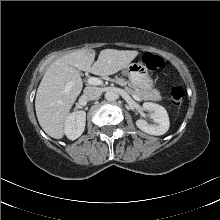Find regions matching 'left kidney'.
I'll return each instance as SVG.
<instances>
[{
  "label": "left kidney",
  "mask_w": 220,
  "mask_h": 220,
  "mask_svg": "<svg viewBox=\"0 0 220 220\" xmlns=\"http://www.w3.org/2000/svg\"><path fill=\"white\" fill-rule=\"evenodd\" d=\"M143 108L151 113L150 118L155 124L149 125L146 120L139 119L136 121V126L150 135L159 136L165 134L170 126L166 109L161 105L152 102L143 103Z\"/></svg>",
  "instance_id": "left-kidney-1"
}]
</instances>
